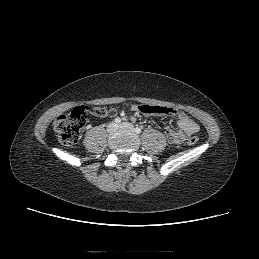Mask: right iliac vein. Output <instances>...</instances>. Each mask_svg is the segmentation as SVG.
Masks as SVG:
<instances>
[{
  "instance_id": "63e3f726",
  "label": "right iliac vein",
  "mask_w": 259,
  "mask_h": 259,
  "mask_svg": "<svg viewBox=\"0 0 259 259\" xmlns=\"http://www.w3.org/2000/svg\"><path fill=\"white\" fill-rule=\"evenodd\" d=\"M117 129H118L117 124H115V123H110V124L108 125V127H107V132H108L109 134H113Z\"/></svg>"
}]
</instances>
